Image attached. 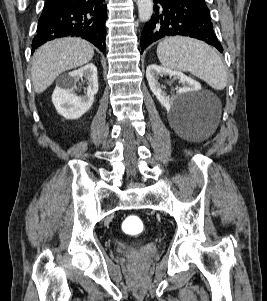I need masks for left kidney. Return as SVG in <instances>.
I'll use <instances>...</instances> for the list:
<instances>
[{"label":"left kidney","instance_id":"5707ae66","mask_svg":"<svg viewBox=\"0 0 267 301\" xmlns=\"http://www.w3.org/2000/svg\"><path fill=\"white\" fill-rule=\"evenodd\" d=\"M159 76H170L179 80V82L182 84V87L177 89L176 96L170 97L165 91L162 90V87L158 82ZM146 77L152 93L156 96L161 105L169 110L173 108L178 96L192 93L200 89V84L198 82L186 76L182 72L160 67L156 64H151L147 67Z\"/></svg>","mask_w":267,"mask_h":301}]
</instances>
